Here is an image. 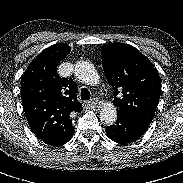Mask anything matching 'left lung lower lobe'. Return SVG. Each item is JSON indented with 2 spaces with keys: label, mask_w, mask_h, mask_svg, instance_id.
Returning <instances> with one entry per match:
<instances>
[{
  "label": "left lung lower lobe",
  "mask_w": 183,
  "mask_h": 183,
  "mask_svg": "<svg viewBox=\"0 0 183 183\" xmlns=\"http://www.w3.org/2000/svg\"><path fill=\"white\" fill-rule=\"evenodd\" d=\"M148 126L146 121L118 114L116 123L106 127V133L114 142L127 144L140 138Z\"/></svg>",
  "instance_id": "1"
}]
</instances>
